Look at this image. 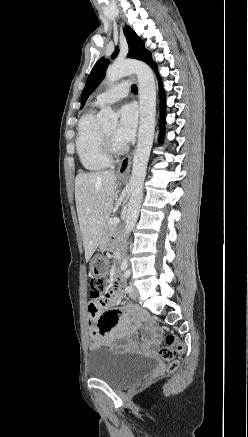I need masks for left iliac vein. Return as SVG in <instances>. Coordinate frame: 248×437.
<instances>
[{
    "mask_svg": "<svg viewBox=\"0 0 248 437\" xmlns=\"http://www.w3.org/2000/svg\"><path fill=\"white\" fill-rule=\"evenodd\" d=\"M131 287H132V291L130 292L131 298H133V299L138 298L139 292H138L137 288L134 285H131Z\"/></svg>",
    "mask_w": 248,
    "mask_h": 437,
    "instance_id": "1",
    "label": "left iliac vein"
}]
</instances>
